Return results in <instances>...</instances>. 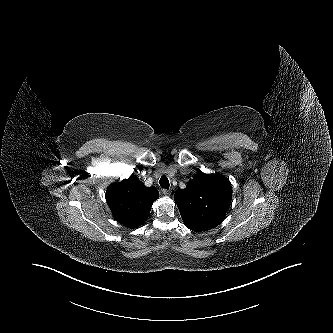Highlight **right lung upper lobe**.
<instances>
[{
    "label": "right lung upper lobe",
    "mask_w": 333,
    "mask_h": 333,
    "mask_svg": "<svg viewBox=\"0 0 333 333\" xmlns=\"http://www.w3.org/2000/svg\"><path fill=\"white\" fill-rule=\"evenodd\" d=\"M158 196L155 187H146L133 175L111 184L106 191V201L113 217L129 228H136L148 217Z\"/></svg>",
    "instance_id": "obj_1"
}]
</instances>
